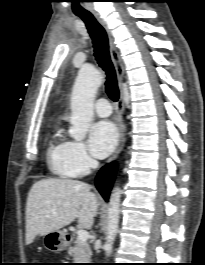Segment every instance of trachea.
<instances>
[{
	"label": "trachea",
	"instance_id": "obj_1",
	"mask_svg": "<svg viewBox=\"0 0 205 265\" xmlns=\"http://www.w3.org/2000/svg\"><path fill=\"white\" fill-rule=\"evenodd\" d=\"M77 16L84 21L92 38L95 58L107 75L105 82L106 93L111 100L116 102L119 98V89L116 73L110 59L107 33L92 14H79Z\"/></svg>",
	"mask_w": 205,
	"mask_h": 265
}]
</instances>
